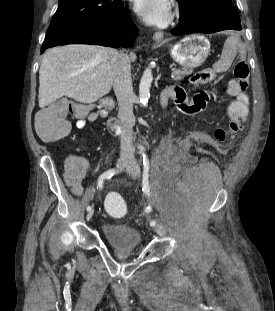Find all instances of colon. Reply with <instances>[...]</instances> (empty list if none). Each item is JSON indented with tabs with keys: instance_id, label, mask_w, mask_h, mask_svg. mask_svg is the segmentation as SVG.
I'll return each instance as SVG.
<instances>
[{
	"instance_id": "5ec220e1",
	"label": "colon",
	"mask_w": 275,
	"mask_h": 311,
	"mask_svg": "<svg viewBox=\"0 0 275 311\" xmlns=\"http://www.w3.org/2000/svg\"><path fill=\"white\" fill-rule=\"evenodd\" d=\"M233 73L240 89L245 91L248 88V64L243 60L237 61ZM75 111L76 105L74 103L60 100L48 109L40 112L36 117V128L40 137L49 141L65 137L68 134L67 114L69 112L74 113ZM105 207L107 212L113 216L122 215L126 210L125 204L118 196L117 190L107 191Z\"/></svg>"
}]
</instances>
